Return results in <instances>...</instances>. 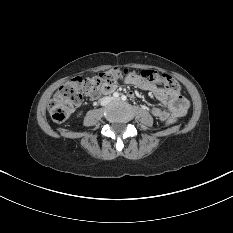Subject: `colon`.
<instances>
[{
	"mask_svg": "<svg viewBox=\"0 0 233 233\" xmlns=\"http://www.w3.org/2000/svg\"><path fill=\"white\" fill-rule=\"evenodd\" d=\"M127 69L112 68L96 74L94 77H74L62 85L49 104V114L55 122L67 120L75 106L79 105L86 97H96L102 92H108L114 88ZM139 78L149 84H161L174 94L180 91L179 83L170 75L159 74L154 70H143ZM173 124L175 119H168Z\"/></svg>",
	"mask_w": 233,
	"mask_h": 233,
	"instance_id": "1",
	"label": "colon"
}]
</instances>
